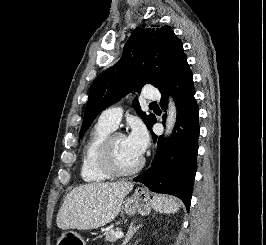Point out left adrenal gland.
<instances>
[{"mask_svg":"<svg viewBox=\"0 0 266 245\" xmlns=\"http://www.w3.org/2000/svg\"><path fill=\"white\" fill-rule=\"evenodd\" d=\"M140 227H142V225H137V227H135L134 223H131V225L128 229L127 237H126L125 241H123V245H127V243H129L130 239H132V237H134L135 233H137V231H138V229H140Z\"/></svg>","mask_w":266,"mask_h":245,"instance_id":"obj_1","label":"left adrenal gland"}]
</instances>
